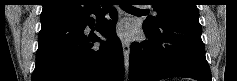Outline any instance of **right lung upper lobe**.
<instances>
[{"mask_svg": "<svg viewBox=\"0 0 237 81\" xmlns=\"http://www.w3.org/2000/svg\"><path fill=\"white\" fill-rule=\"evenodd\" d=\"M41 22L81 14L93 7L91 0H44Z\"/></svg>", "mask_w": 237, "mask_h": 81, "instance_id": "right-lung-upper-lobe-1", "label": "right lung upper lobe"}]
</instances>
